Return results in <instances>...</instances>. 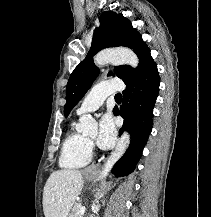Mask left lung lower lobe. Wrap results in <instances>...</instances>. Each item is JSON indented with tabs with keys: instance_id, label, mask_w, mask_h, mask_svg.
I'll list each match as a JSON object with an SVG mask.
<instances>
[{
	"instance_id": "left-lung-lower-lobe-1",
	"label": "left lung lower lobe",
	"mask_w": 211,
	"mask_h": 217,
	"mask_svg": "<svg viewBox=\"0 0 211 217\" xmlns=\"http://www.w3.org/2000/svg\"><path fill=\"white\" fill-rule=\"evenodd\" d=\"M123 105L115 107L113 113L124 118L120 130H127L131 135V143L125 155L116 163L113 173L127 176L132 173L142 155L143 148L152 130L153 107L159 92L160 78L157 65L148 67L133 80L125 83Z\"/></svg>"
}]
</instances>
